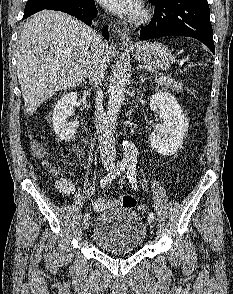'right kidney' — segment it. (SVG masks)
Returning a JSON list of instances; mask_svg holds the SVG:
<instances>
[{"label": "right kidney", "instance_id": "ca27d5eb", "mask_svg": "<svg viewBox=\"0 0 233 294\" xmlns=\"http://www.w3.org/2000/svg\"><path fill=\"white\" fill-rule=\"evenodd\" d=\"M77 98L76 92L67 93L60 98L54 107L52 115L53 130L60 140L69 141L72 139L79 127L78 120L71 122L67 120L74 113Z\"/></svg>", "mask_w": 233, "mask_h": 294}]
</instances>
